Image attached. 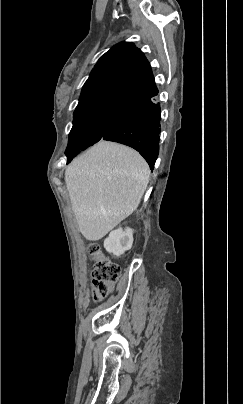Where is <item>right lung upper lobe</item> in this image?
<instances>
[{
    "mask_svg": "<svg viewBox=\"0 0 243 404\" xmlns=\"http://www.w3.org/2000/svg\"><path fill=\"white\" fill-rule=\"evenodd\" d=\"M156 92L144 54L133 43L121 42L98 60L83 86L76 108L104 101L128 103Z\"/></svg>",
    "mask_w": 243,
    "mask_h": 404,
    "instance_id": "cb5924a9",
    "label": "right lung upper lobe"
}]
</instances>
